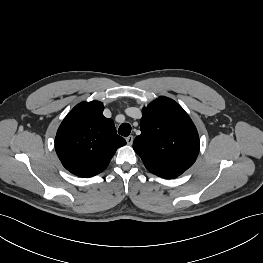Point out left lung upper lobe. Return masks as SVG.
<instances>
[{
    "instance_id": "5c2ea615",
    "label": "left lung upper lobe",
    "mask_w": 263,
    "mask_h": 263,
    "mask_svg": "<svg viewBox=\"0 0 263 263\" xmlns=\"http://www.w3.org/2000/svg\"><path fill=\"white\" fill-rule=\"evenodd\" d=\"M141 134L133 143L135 152L153 174L179 176L195 162L199 137L195 125L174 100L159 97L143 108Z\"/></svg>"
}]
</instances>
